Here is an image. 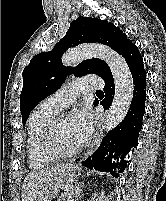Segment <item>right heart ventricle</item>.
I'll return each instance as SVG.
<instances>
[{
  "label": "right heart ventricle",
  "mask_w": 166,
  "mask_h": 201,
  "mask_svg": "<svg viewBox=\"0 0 166 201\" xmlns=\"http://www.w3.org/2000/svg\"><path fill=\"white\" fill-rule=\"evenodd\" d=\"M56 114L55 111L41 105L30 115L28 123L27 153L29 165L32 168H38L51 163L56 158L45 149L42 142L44 130Z\"/></svg>",
  "instance_id": "e07e8e85"
}]
</instances>
